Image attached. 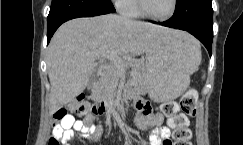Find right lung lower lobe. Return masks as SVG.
Segmentation results:
<instances>
[{
	"instance_id": "1",
	"label": "right lung lower lobe",
	"mask_w": 243,
	"mask_h": 145,
	"mask_svg": "<svg viewBox=\"0 0 243 145\" xmlns=\"http://www.w3.org/2000/svg\"><path fill=\"white\" fill-rule=\"evenodd\" d=\"M111 0H52L47 18V43L57 28L73 18L92 17L114 12Z\"/></svg>"
}]
</instances>
